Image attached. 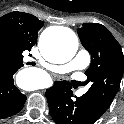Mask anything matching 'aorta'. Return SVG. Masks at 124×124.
Returning a JSON list of instances; mask_svg holds the SVG:
<instances>
[{"mask_svg":"<svg viewBox=\"0 0 124 124\" xmlns=\"http://www.w3.org/2000/svg\"><path fill=\"white\" fill-rule=\"evenodd\" d=\"M39 47L42 55L52 63L70 61L78 50V39L73 31L62 28L55 33L44 32L41 35ZM31 70H23L17 76L20 86L27 90H35L37 84L31 80Z\"/></svg>","mask_w":124,"mask_h":124,"instance_id":"1","label":"aorta"}]
</instances>
